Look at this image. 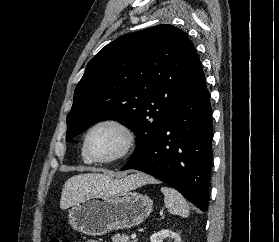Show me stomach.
<instances>
[{"instance_id": "obj_1", "label": "stomach", "mask_w": 279, "mask_h": 242, "mask_svg": "<svg viewBox=\"0 0 279 242\" xmlns=\"http://www.w3.org/2000/svg\"><path fill=\"white\" fill-rule=\"evenodd\" d=\"M153 201L132 189H117L76 203L68 214L71 227L85 235L100 236L141 224L152 212Z\"/></svg>"}]
</instances>
